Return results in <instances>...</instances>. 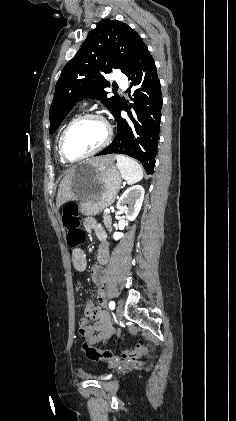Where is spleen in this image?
<instances>
[{"label": "spleen", "instance_id": "obj_1", "mask_svg": "<svg viewBox=\"0 0 236 421\" xmlns=\"http://www.w3.org/2000/svg\"><path fill=\"white\" fill-rule=\"evenodd\" d=\"M116 160L121 176L125 178L127 184H134L143 178V170L137 160L124 154H116Z\"/></svg>", "mask_w": 236, "mask_h": 421}]
</instances>
